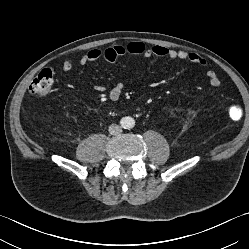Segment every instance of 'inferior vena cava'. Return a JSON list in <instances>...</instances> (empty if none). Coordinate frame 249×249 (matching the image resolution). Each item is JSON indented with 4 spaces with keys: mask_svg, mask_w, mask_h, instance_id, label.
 <instances>
[{
    "mask_svg": "<svg viewBox=\"0 0 249 249\" xmlns=\"http://www.w3.org/2000/svg\"><path fill=\"white\" fill-rule=\"evenodd\" d=\"M122 132V129L117 124H111L109 126V133L112 135H119Z\"/></svg>",
    "mask_w": 249,
    "mask_h": 249,
    "instance_id": "inferior-vena-cava-1",
    "label": "inferior vena cava"
}]
</instances>
